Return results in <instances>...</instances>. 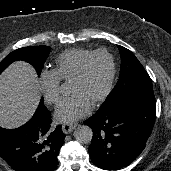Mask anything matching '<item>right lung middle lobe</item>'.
Returning a JSON list of instances; mask_svg holds the SVG:
<instances>
[{
    "label": "right lung middle lobe",
    "instance_id": "right-lung-middle-lobe-1",
    "mask_svg": "<svg viewBox=\"0 0 171 171\" xmlns=\"http://www.w3.org/2000/svg\"><path fill=\"white\" fill-rule=\"evenodd\" d=\"M49 52L50 47L48 46H30L14 50L1 61L0 73L12 62L17 60H24L32 64L38 75H40ZM40 103L43 104V98Z\"/></svg>",
    "mask_w": 171,
    "mask_h": 171
}]
</instances>
